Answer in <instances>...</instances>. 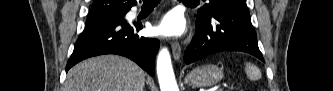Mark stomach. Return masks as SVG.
Listing matches in <instances>:
<instances>
[{"label":"stomach","instance_id":"stomach-1","mask_svg":"<svg viewBox=\"0 0 333 91\" xmlns=\"http://www.w3.org/2000/svg\"><path fill=\"white\" fill-rule=\"evenodd\" d=\"M223 71L216 65L205 64L194 68L185 78V83L195 87H208L219 83Z\"/></svg>","mask_w":333,"mask_h":91}]
</instances>
